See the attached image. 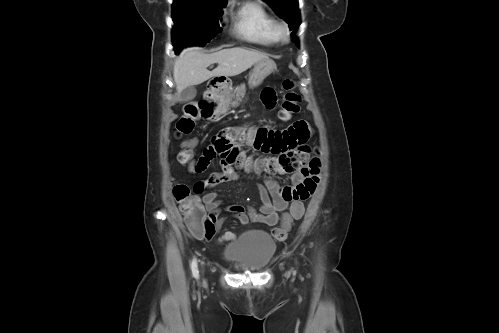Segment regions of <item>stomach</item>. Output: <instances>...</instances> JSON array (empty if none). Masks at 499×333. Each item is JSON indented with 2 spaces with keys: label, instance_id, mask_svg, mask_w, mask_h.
Here are the masks:
<instances>
[{
  "label": "stomach",
  "instance_id": "stomach-1",
  "mask_svg": "<svg viewBox=\"0 0 499 333\" xmlns=\"http://www.w3.org/2000/svg\"><path fill=\"white\" fill-rule=\"evenodd\" d=\"M276 69V64L273 60L271 59H266V60H261L257 63H255L254 68L250 74L248 84L251 88L259 86L266 77H268L274 70ZM218 91L223 93L228 92L229 90L228 83H219L218 85Z\"/></svg>",
  "mask_w": 499,
  "mask_h": 333
}]
</instances>
